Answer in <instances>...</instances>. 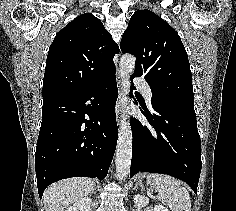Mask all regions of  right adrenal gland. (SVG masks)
<instances>
[{"instance_id":"right-adrenal-gland-1","label":"right adrenal gland","mask_w":236,"mask_h":211,"mask_svg":"<svg viewBox=\"0 0 236 211\" xmlns=\"http://www.w3.org/2000/svg\"><path fill=\"white\" fill-rule=\"evenodd\" d=\"M95 191H96V185L94 184V188H93L91 194L94 193Z\"/></svg>"}]
</instances>
